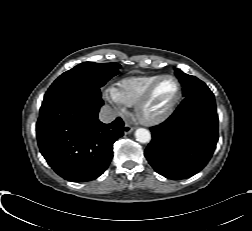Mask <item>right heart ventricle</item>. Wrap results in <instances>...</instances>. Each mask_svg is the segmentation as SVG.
I'll return each mask as SVG.
<instances>
[{"instance_id":"obj_1","label":"right heart ventricle","mask_w":252,"mask_h":231,"mask_svg":"<svg viewBox=\"0 0 252 231\" xmlns=\"http://www.w3.org/2000/svg\"><path fill=\"white\" fill-rule=\"evenodd\" d=\"M161 75H139L123 78L116 83L115 91L126 106H134L148 87Z\"/></svg>"}]
</instances>
